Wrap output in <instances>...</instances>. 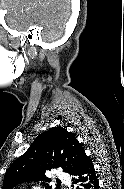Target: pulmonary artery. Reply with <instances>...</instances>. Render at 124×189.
<instances>
[{"label": "pulmonary artery", "mask_w": 124, "mask_h": 189, "mask_svg": "<svg viewBox=\"0 0 124 189\" xmlns=\"http://www.w3.org/2000/svg\"><path fill=\"white\" fill-rule=\"evenodd\" d=\"M56 176H57V178H59L60 180L65 182L66 184H69L68 175L66 173H64L63 171L57 170Z\"/></svg>", "instance_id": "1"}]
</instances>
